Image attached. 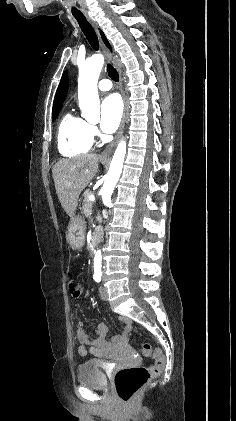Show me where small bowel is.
Returning <instances> with one entry per match:
<instances>
[{"label": "small bowel", "mask_w": 236, "mask_h": 421, "mask_svg": "<svg viewBox=\"0 0 236 421\" xmlns=\"http://www.w3.org/2000/svg\"><path fill=\"white\" fill-rule=\"evenodd\" d=\"M100 329L103 330L105 333L107 332V327L104 324H99L98 330H100ZM80 353L82 355H84V354H86V350L84 348H81Z\"/></svg>", "instance_id": "small-bowel-1"}]
</instances>
